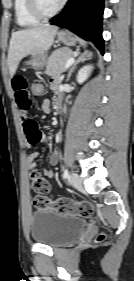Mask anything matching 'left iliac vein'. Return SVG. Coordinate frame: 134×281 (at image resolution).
<instances>
[{"instance_id": "1", "label": "left iliac vein", "mask_w": 134, "mask_h": 281, "mask_svg": "<svg viewBox=\"0 0 134 281\" xmlns=\"http://www.w3.org/2000/svg\"><path fill=\"white\" fill-rule=\"evenodd\" d=\"M71 184L74 188L78 189L82 186L81 178L77 173H72L70 176Z\"/></svg>"}]
</instances>
